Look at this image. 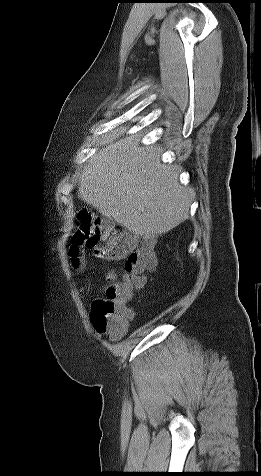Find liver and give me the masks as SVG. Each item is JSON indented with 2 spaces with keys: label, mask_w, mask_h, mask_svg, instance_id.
Masks as SVG:
<instances>
[{
  "label": "liver",
  "mask_w": 261,
  "mask_h": 476,
  "mask_svg": "<svg viewBox=\"0 0 261 476\" xmlns=\"http://www.w3.org/2000/svg\"><path fill=\"white\" fill-rule=\"evenodd\" d=\"M109 134L83 169L79 197L145 239L188 219L194 193L181 185L177 166L162 162L159 146L140 145V134Z\"/></svg>",
  "instance_id": "liver-1"
}]
</instances>
